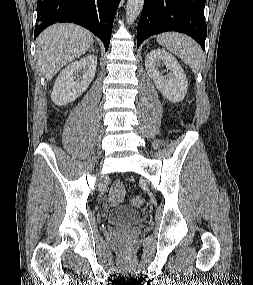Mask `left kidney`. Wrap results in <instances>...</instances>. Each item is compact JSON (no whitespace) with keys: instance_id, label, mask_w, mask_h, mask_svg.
I'll use <instances>...</instances> for the list:
<instances>
[{"instance_id":"5707ae66","label":"left kidney","mask_w":253,"mask_h":285,"mask_svg":"<svg viewBox=\"0 0 253 285\" xmlns=\"http://www.w3.org/2000/svg\"><path fill=\"white\" fill-rule=\"evenodd\" d=\"M163 64L170 71L166 76H163L158 69ZM145 67L149 77L166 99L174 103L184 99L188 80L175 57L164 49H155L146 55Z\"/></svg>"}]
</instances>
